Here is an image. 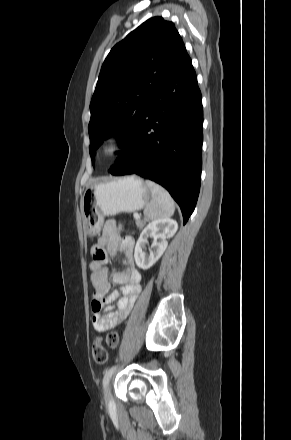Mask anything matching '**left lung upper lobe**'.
I'll list each match as a JSON object with an SVG mask.
<instances>
[{"label":"left lung upper lobe","instance_id":"obj_1","mask_svg":"<svg viewBox=\"0 0 291 440\" xmlns=\"http://www.w3.org/2000/svg\"><path fill=\"white\" fill-rule=\"evenodd\" d=\"M187 54L172 22L153 17L117 43L106 57L90 103V156L112 134L125 148L162 83Z\"/></svg>","mask_w":291,"mask_h":440}]
</instances>
